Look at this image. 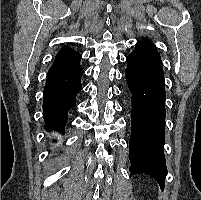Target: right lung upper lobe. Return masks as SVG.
Masks as SVG:
<instances>
[{
	"label": "right lung upper lobe",
	"mask_w": 201,
	"mask_h": 200,
	"mask_svg": "<svg viewBox=\"0 0 201 200\" xmlns=\"http://www.w3.org/2000/svg\"><path fill=\"white\" fill-rule=\"evenodd\" d=\"M81 55L70 48L69 46L63 47L56 55L53 65L48 70L47 78L67 73L80 65Z\"/></svg>",
	"instance_id": "obj_1"
}]
</instances>
